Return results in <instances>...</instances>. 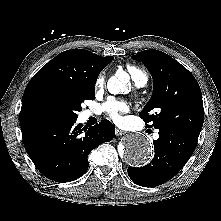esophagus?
I'll return each instance as SVG.
<instances>
[{"label":"esophagus","mask_w":221,"mask_h":221,"mask_svg":"<svg viewBox=\"0 0 221 221\" xmlns=\"http://www.w3.org/2000/svg\"><path fill=\"white\" fill-rule=\"evenodd\" d=\"M115 133H116V136L119 137V136L124 135L126 132H125V131H122V130H120V129H116Z\"/></svg>","instance_id":"obj_1"}]
</instances>
